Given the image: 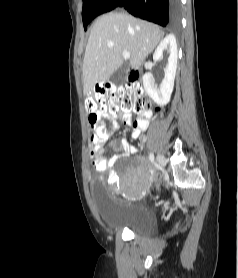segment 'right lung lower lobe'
<instances>
[{
	"label": "right lung lower lobe",
	"instance_id": "1",
	"mask_svg": "<svg viewBox=\"0 0 238 278\" xmlns=\"http://www.w3.org/2000/svg\"><path fill=\"white\" fill-rule=\"evenodd\" d=\"M180 0H103L93 14L96 16L117 7L161 26H174L180 20Z\"/></svg>",
	"mask_w": 238,
	"mask_h": 278
}]
</instances>
